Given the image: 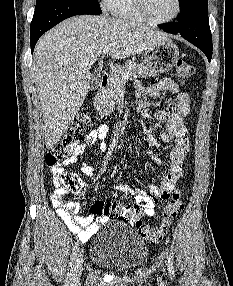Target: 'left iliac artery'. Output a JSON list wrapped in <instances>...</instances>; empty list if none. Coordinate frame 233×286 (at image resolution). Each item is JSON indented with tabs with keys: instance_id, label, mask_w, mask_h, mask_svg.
Returning a JSON list of instances; mask_svg holds the SVG:
<instances>
[{
	"instance_id": "1",
	"label": "left iliac artery",
	"mask_w": 233,
	"mask_h": 286,
	"mask_svg": "<svg viewBox=\"0 0 233 286\" xmlns=\"http://www.w3.org/2000/svg\"><path fill=\"white\" fill-rule=\"evenodd\" d=\"M168 270L171 275L174 274L173 260L170 255H167Z\"/></svg>"
}]
</instances>
